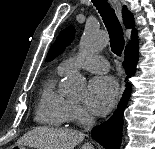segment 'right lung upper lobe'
<instances>
[{
  "label": "right lung upper lobe",
  "instance_id": "1",
  "mask_svg": "<svg viewBox=\"0 0 155 149\" xmlns=\"http://www.w3.org/2000/svg\"><path fill=\"white\" fill-rule=\"evenodd\" d=\"M123 22L126 28H134V19L131 12L127 9L126 6L122 9ZM125 53L127 54H138V42H137V31L133 29L131 34V40L126 46Z\"/></svg>",
  "mask_w": 155,
  "mask_h": 149
}]
</instances>
